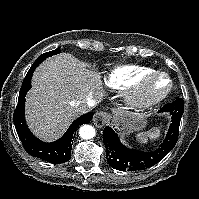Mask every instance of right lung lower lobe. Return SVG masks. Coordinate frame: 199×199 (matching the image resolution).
Returning a JSON list of instances; mask_svg holds the SVG:
<instances>
[{
    "instance_id": "1",
    "label": "right lung lower lobe",
    "mask_w": 199,
    "mask_h": 199,
    "mask_svg": "<svg viewBox=\"0 0 199 199\" xmlns=\"http://www.w3.org/2000/svg\"><path fill=\"white\" fill-rule=\"evenodd\" d=\"M44 60H36L27 72L18 97V104L14 111L13 121L17 134L30 155L45 160L50 163H64L71 157L73 137L79 126L89 123L94 113L89 112L76 119L67 132L57 141L46 143L37 139L28 129L24 117L25 96L31 88V78L34 70Z\"/></svg>"
}]
</instances>
